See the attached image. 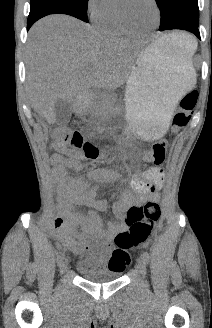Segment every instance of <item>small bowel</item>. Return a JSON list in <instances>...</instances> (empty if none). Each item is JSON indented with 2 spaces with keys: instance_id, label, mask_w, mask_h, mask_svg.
I'll return each instance as SVG.
<instances>
[{
  "instance_id": "1",
  "label": "small bowel",
  "mask_w": 212,
  "mask_h": 328,
  "mask_svg": "<svg viewBox=\"0 0 212 328\" xmlns=\"http://www.w3.org/2000/svg\"><path fill=\"white\" fill-rule=\"evenodd\" d=\"M59 153L51 156L53 174L55 179L64 187L62 200L65 205H83L89 208L87 213L78 211L69 215L70 225L80 226L83 233L79 236L76 246L78 251H91L93 257L101 264H107L109 269L123 271L124 266L118 263L111 265L107 257L109 242L118 233L128 227L126 213L132 206H139L146 201H157L158 190L162 185L165 173L161 167H151L142 176H132L125 179L116 171L97 169L89 171L85 176L77 177L69 173V169L75 172L81 170L78 161L80 154L71 152L69 158L62 153L64 147L53 146ZM111 182L123 185L122 195L119 200L111 204L113 219L106 224L101 213L108 209L106 200L97 199L96 183ZM57 226L62 225V220L56 221ZM73 245L72 242H68Z\"/></svg>"
}]
</instances>
